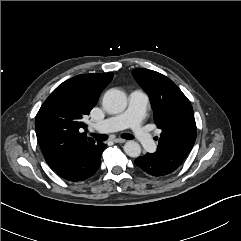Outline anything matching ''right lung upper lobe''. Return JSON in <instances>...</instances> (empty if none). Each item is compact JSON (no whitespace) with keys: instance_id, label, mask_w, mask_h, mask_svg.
<instances>
[{"instance_id":"1","label":"right lung upper lobe","mask_w":241,"mask_h":241,"mask_svg":"<svg viewBox=\"0 0 241 241\" xmlns=\"http://www.w3.org/2000/svg\"><path fill=\"white\" fill-rule=\"evenodd\" d=\"M112 73L77 75L60 84L45 100L35 119V129L45 160L57 169L75 151L95 142L81 133L84 119L111 82Z\"/></svg>"}]
</instances>
